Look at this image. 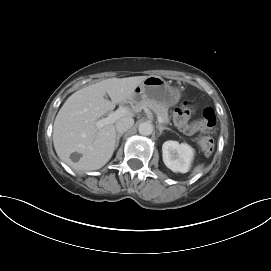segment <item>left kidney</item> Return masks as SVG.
I'll list each match as a JSON object with an SVG mask.
<instances>
[{"mask_svg": "<svg viewBox=\"0 0 271 271\" xmlns=\"http://www.w3.org/2000/svg\"><path fill=\"white\" fill-rule=\"evenodd\" d=\"M164 164L173 172L186 173L190 170L194 158V149L177 141H166L162 145Z\"/></svg>", "mask_w": 271, "mask_h": 271, "instance_id": "obj_1", "label": "left kidney"}]
</instances>
